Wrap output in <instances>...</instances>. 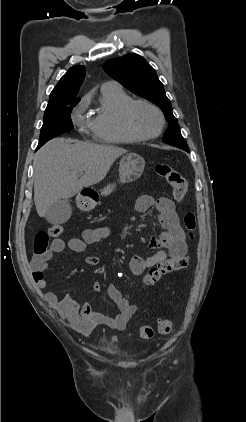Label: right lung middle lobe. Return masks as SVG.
<instances>
[{
    "mask_svg": "<svg viewBox=\"0 0 246 422\" xmlns=\"http://www.w3.org/2000/svg\"><path fill=\"white\" fill-rule=\"evenodd\" d=\"M79 101L65 102L46 108L38 148L50 139L73 130L71 111Z\"/></svg>",
    "mask_w": 246,
    "mask_h": 422,
    "instance_id": "dd1d6c3e",
    "label": "right lung middle lobe"
}]
</instances>
